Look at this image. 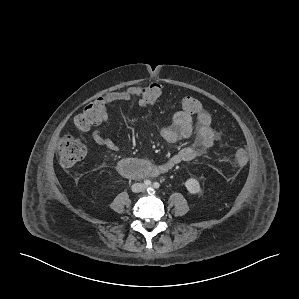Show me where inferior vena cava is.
I'll return each instance as SVG.
<instances>
[{
    "mask_svg": "<svg viewBox=\"0 0 299 299\" xmlns=\"http://www.w3.org/2000/svg\"><path fill=\"white\" fill-rule=\"evenodd\" d=\"M132 188H133V191H135V192H139V191L143 190V186L141 184H134Z\"/></svg>",
    "mask_w": 299,
    "mask_h": 299,
    "instance_id": "1",
    "label": "inferior vena cava"
}]
</instances>
